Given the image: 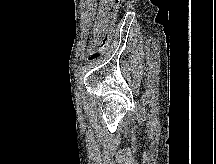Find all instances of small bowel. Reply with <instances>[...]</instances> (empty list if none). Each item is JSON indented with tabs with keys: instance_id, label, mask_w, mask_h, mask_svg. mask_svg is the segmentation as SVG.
<instances>
[{
	"instance_id": "small-bowel-1",
	"label": "small bowel",
	"mask_w": 216,
	"mask_h": 164,
	"mask_svg": "<svg viewBox=\"0 0 216 164\" xmlns=\"http://www.w3.org/2000/svg\"><path fill=\"white\" fill-rule=\"evenodd\" d=\"M112 0H100L99 3V13L95 22V27H98L102 25L106 19H107V14L110 10V5H111Z\"/></svg>"
}]
</instances>
